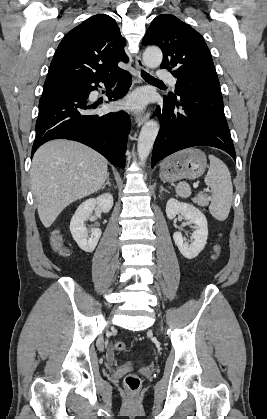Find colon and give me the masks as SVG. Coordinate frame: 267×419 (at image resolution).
I'll return each mask as SVG.
<instances>
[{"label": "colon", "instance_id": "colon-1", "mask_svg": "<svg viewBox=\"0 0 267 419\" xmlns=\"http://www.w3.org/2000/svg\"><path fill=\"white\" fill-rule=\"evenodd\" d=\"M51 245L53 249L61 255H66L67 250L62 244V239L58 233H54L51 237ZM221 252L220 245L215 247L214 258H218ZM114 350L123 352L126 350V344L123 341H117L114 344ZM124 383L130 391H137L141 385V380L136 374H128L125 377Z\"/></svg>", "mask_w": 267, "mask_h": 419}]
</instances>
